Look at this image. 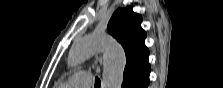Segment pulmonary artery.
<instances>
[{
    "label": "pulmonary artery",
    "mask_w": 223,
    "mask_h": 88,
    "mask_svg": "<svg viewBox=\"0 0 223 88\" xmlns=\"http://www.w3.org/2000/svg\"><path fill=\"white\" fill-rule=\"evenodd\" d=\"M69 83L76 88H88L93 84V77L89 71H79L71 76Z\"/></svg>",
    "instance_id": "e3ab8cb5"
}]
</instances>
